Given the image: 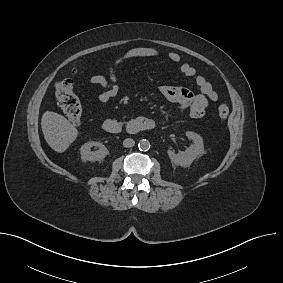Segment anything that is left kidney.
<instances>
[{"instance_id": "1", "label": "left kidney", "mask_w": 283, "mask_h": 283, "mask_svg": "<svg viewBox=\"0 0 283 283\" xmlns=\"http://www.w3.org/2000/svg\"><path fill=\"white\" fill-rule=\"evenodd\" d=\"M186 136L192 140V144L189 148L179 154H176L172 150H168L169 158L177 166H190L204 151L203 139L200 135L192 131H187Z\"/></svg>"}]
</instances>
